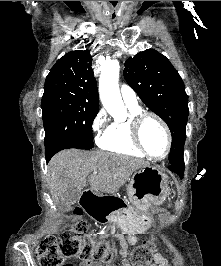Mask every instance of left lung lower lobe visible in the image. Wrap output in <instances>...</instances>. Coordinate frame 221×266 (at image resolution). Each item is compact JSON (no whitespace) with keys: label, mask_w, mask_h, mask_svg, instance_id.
<instances>
[{"label":"left lung lower lobe","mask_w":221,"mask_h":266,"mask_svg":"<svg viewBox=\"0 0 221 266\" xmlns=\"http://www.w3.org/2000/svg\"><path fill=\"white\" fill-rule=\"evenodd\" d=\"M184 159L181 158L179 160H175L173 162H170L169 169L175 173H177L181 178H183L184 173Z\"/></svg>","instance_id":"left-lung-lower-lobe-1"}]
</instances>
